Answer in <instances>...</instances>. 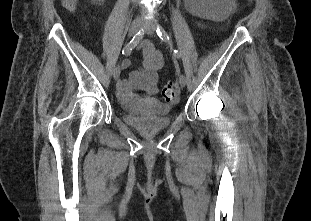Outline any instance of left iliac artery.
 Masks as SVG:
<instances>
[{"label":"left iliac artery","mask_w":311,"mask_h":221,"mask_svg":"<svg viewBox=\"0 0 311 221\" xmlns=\"http://www.w3.org/2000/svg\"><path fill=\"white\" fill-rule=\"evenodd\" d=\"M156 32L162 41L170 44L169 35L160 24L156 25ZM173 52L175 57L180 58V54L177 50H173Z\"/></svg>","instance_id":"left-iliac-artery-1"}]
</instances>
